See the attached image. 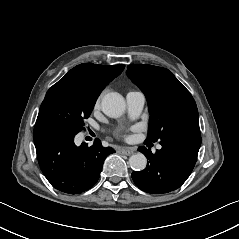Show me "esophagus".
<instances>
[{
  "mask_svg": "<svg viewBox=\"0 0 239 239\" xmlns=\"http://www.w3.org/2000/svg\"><path fill=\"white\" fill-rule=\"evenodd\" d=\"M120 154H123V155H131L133 154V150L132 149H121L118 151Z\"/></svg>",
  "mask_w": 239,
  "mask_h": 239,
  "instance_id": "1",
  "label": "esophagus"
}]
</instances>
